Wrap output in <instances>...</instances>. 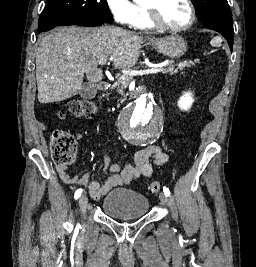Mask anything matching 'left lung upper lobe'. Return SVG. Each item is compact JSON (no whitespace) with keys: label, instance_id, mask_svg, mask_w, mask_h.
Returning a JSON list of instances; mask_svg holds the SVG:
<instances>
[{"label":"left lung upper lobe","instance_id":"left-lung-upper-lobe-1","mask_svg":"<svg viewBox=\"0 0 256 267\" xmlns=\"http://www.w3.org/2000/svg\"><path fill=\"white\" fill-rule=\"evenodd\" d=\"M200 21L222 34L233 49V21L227 0H192Z\"/></svg>","mask_w":256,"mask_h":267}]
</instances>
